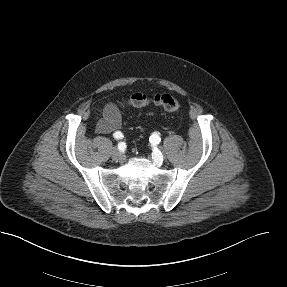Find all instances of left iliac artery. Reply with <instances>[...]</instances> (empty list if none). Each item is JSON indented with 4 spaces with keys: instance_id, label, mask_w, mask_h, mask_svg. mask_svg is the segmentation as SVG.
<instances>
[{
    "instance_id": "obj_1",
    "label": "left iliac artery",
    "mask_w": 287,
    "mask_h": 287,
    "mask_svg": "<svg viewBox=\"0 0 287 287\" xmlns=\"http://www.w3.org/2000/svg\"><path fill=\"white\" fill-rule=\"evenodd\" d=\"M150 143H152L153 145H157L159 144L161 138L159 137L158 133H153L151 136H150Z\"/></svg>"
}]
</instances>
